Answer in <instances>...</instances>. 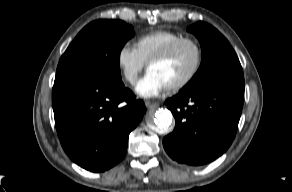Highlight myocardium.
<instances>
[{
    "label": "myocardium",
    "mask_w": 292,
    "mask_h": 192,
    "mask_svg": "<svg viewBox=\"0 0 292 192\" xmlns=\"http://www.w3.org/2000/svg\"><path fill=\"white\" fill-rule=\"evenodd\" d=\"M191 45L196 51V62L191 70V72L181 81L168 86L170 91H179L187 87L199 74L203 62H204V52L201 44L194 38L191 37H182L177 41L173 42L170 46H168L164 51L155 55L147 62V69L155 63H160L170 59L182 46Z\"/></svg>",
    "instance_id": "f54148a6"
}]
</instances>
